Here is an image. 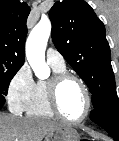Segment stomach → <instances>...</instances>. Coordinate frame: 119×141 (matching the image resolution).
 Instances as JSON below:
<instances>
[{
  "mask_svg": "<svg viewBox=\"0 0 119 141\" xmlns=\"http://www.w3.org/2000/svg\"><path fill=\"white\" fill-rule=\"evenodd\" d=\"M45 141H80V137L75 129L64 126L46 136Z\"/></svg>",
  "mask_w": 119,
  "mask_h": 141,
  "instance_id": "obj_1",
  "label": "stomach"
}]
</instances>
